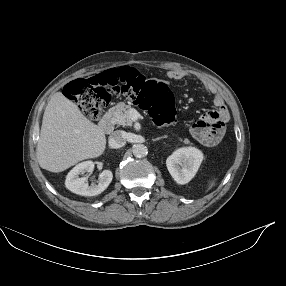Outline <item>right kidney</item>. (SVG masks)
<instances>
[{"instance_id": "1", "label": "right kidney", "mask_w": 286, "mask_h": 286, "mask_svg": "<svg viewBox=\"0 0 286 286\" xmlns=\"http://www.w3.org/2000/svg\"><path fill=\"white\" fill-rule=\"evenodd\" d=\"M94 163L92 161H85L77 164L67 175L65 185L71 192L82 196H95L102 193L111 183L113 174L110 170H103L97 184L91 185L87 182V177H79L80 174L88 172L89 174L94 170Z\"/></svg>"}]
</instances>
